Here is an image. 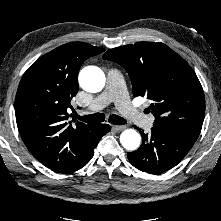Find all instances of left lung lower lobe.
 I'll return each mask as SVG.
<instances>
[{
    "mask_svg": "<svg viewBox=\"0 0 221 221\" xmlns=\"http://www.w3.org/2000/svg\"><path fill=\"white\" fill-rule=\"evenodd\" d=\"M141 135L142 145L127 156L134 167L149 174H160L175 167L195 143L157 127H153L150 134L142 131Z\"/></svg>",
    "mask_w": 221,
    "mask_h": 221,
    "instance_id": "1",
    "label": "left lung lower lobe"
}]
</instances>
